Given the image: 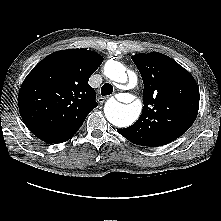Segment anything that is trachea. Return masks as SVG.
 <instances>
[{"label":"trachea","mask_w":221,"mask_h":221,"mask_svg":"<svg viewBox=\"0 0 221 221\" xmlns=\"http://www.w3.org/2000/svg\"><path fill=\"white\" fill-rule=\"evenodd\" d=\"M113 92V86L109 83H105L101 88V94L103 96L110 95Z\"/></svg>","instance_id":"1"}]
</instances>
